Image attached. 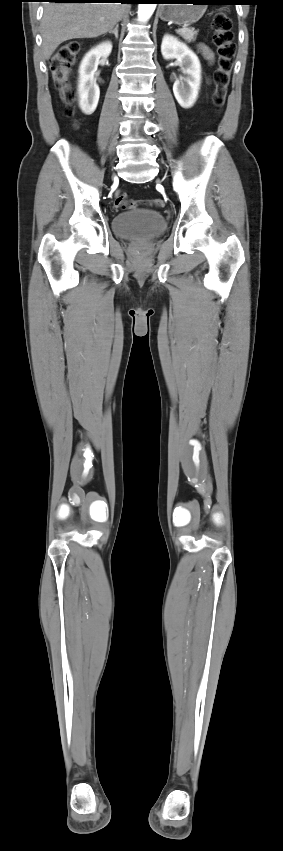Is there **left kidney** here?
<instances>
[{
	"label": "left kidney",
	"mask_w": 283,
	"mask_h": 851,
	"mask_svg": "<svg viewBox=\"0 0 283 851\" xmlns=\"http://www.w3.org/2000/svg\"><path fill=\"white\" fill-rule=\"evenodd\" d=\"M164 59H176L184 73L174 82L173 93L181 107L191 108L197 100L201 84V64L189 47L171 35H164L161 44Z\"/></svg>",
	"instance_id": "5707ae66"
}]
</instances>
